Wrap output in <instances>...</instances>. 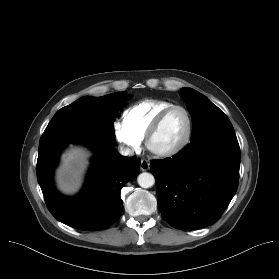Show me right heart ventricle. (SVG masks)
Here are the masks:
<instances>
[{"label": "right heart ventricle", "instance_id": "1", "mask_svg": "<svg viewBox=\"0 0 279 279\" xmlns=\"http://www.w3.org/2000/svg\"><path fill=\"white\" fill-rule=\"evenodd\" d=\"M171 105L174 104L160 99L141 101L123 112L122 124L142 140L157 115Z\"/></svg>", "mask_w": 279, "mask_h": 279}]
</instances>
